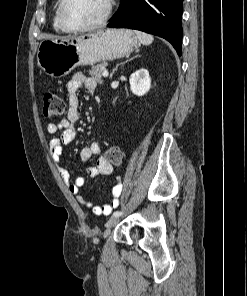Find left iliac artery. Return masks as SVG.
Returning a JSON list of instances; mask_svg holds the SVG:
<instances>
[{"instance_id": "obj_1", "label": "left iliac artery", "mask_w": 247, "mask_h": 296, "mask_svg": "<svg viewBox=\"0 0 247 296\" xmlns=\"http://www.w3.org/2000/svg\"><path fill=\"white\" fill-rule=\"evenodd\" d=\"M123 214V212L121 211H116L113 213V216H121Z\"/></svg>"}]
</instances>
